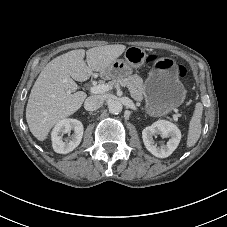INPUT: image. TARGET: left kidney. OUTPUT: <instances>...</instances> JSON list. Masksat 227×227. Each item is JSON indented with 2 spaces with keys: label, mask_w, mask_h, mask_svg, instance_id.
<instances>
[{
  "label": "left kidney",
  "mask_w": 227,
  "mask_h": 227,
  "mask_svg": "<svg viewBox=\"0 0 227 227\" xmlns=\"http://www.w3.org/2000/svg\"><path fill=\"white\" fill-rule=\"evenodd\" d=\"M160 134L162 137H170L165 146H157L153 136ZM142 139L146 149L158 158L170 156L179 145L181 132L176 125L169 121L159 120L142 131Z\"/></svg>",
  "instance_id": "obj_1"
}]
</instances>
